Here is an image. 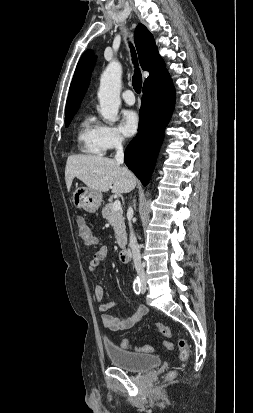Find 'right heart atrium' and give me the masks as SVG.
<instances>
[{"instance_id":"obj_1","label":"right heart atrium","mask_w":253,"mask_h":413,"mask_svg":"<svg viewBox=\"0 0 253 413\" xmlns=\"http://www.w3.org/2000/svg\"><path fill=\"white\" fill-rule=\"evenodd\" d=\"M100 140L104 151L121 148L125 142L120 130L111 125L100 126Z\"/></svg>"}]
</instances>
